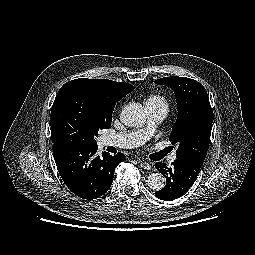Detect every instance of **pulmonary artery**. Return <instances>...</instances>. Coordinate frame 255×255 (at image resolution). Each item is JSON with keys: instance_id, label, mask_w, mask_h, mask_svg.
<instances>
[{"instance_id": "e3ab8cb5", "label": "pulmonary artery", "mask_w": 255, "mask_h": 255, "mask_svg": "<svg viewBox=\"0 0 255 255\" xmlns=\"http://www.w3.org/2000/svg\"><path fill=\"white\" fill-rule=\"evenodd\" d=\"M145 110L147 121L143 126L126 132L107 135L104 138V144L120 148H135L143 145L151 137L158 123L166 116L167 107L146 105ZM168 160L173 163L176 160V155H170Z\"/></svg>"}]
</instances>
